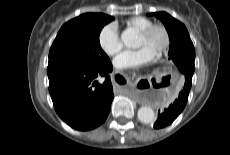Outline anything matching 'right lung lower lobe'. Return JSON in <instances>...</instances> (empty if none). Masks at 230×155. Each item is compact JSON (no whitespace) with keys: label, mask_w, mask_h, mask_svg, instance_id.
Here are the masks:
<instances>
[{"label":"right lung lower lobe","mask_w":230,"mask_h":155,"mask_svg":"<svg viewBox=\"0 0 230 155\" xmlns=\"http://www.w3.org/2000/svg\"><path fill=\"white\" fill-rule=\"evenodd\" d=\"M112 64L95 68H59L47 71L49 92L60 118L76 130L100 126L114 98L109 73ZM98 77H105L102 84Z\"/></svg>","instance_id":"obj_1"}]
</instances>
